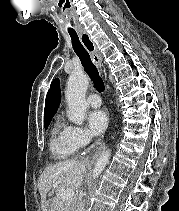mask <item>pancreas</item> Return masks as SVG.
I'll list each match as a JSON object with an SVG mask.
<instances>
[{
    "mask_svg": "<svg viewBox=\"0 0 179 211\" xmlns=\"http://www.w3.org/2000/svg\"><path fill=\"white\" fill-rule=\"evenodd\" d=\"M54 202L57 204L58 211H78V202L75 197L63 199L62 194H59Z\"/></svg>",
    "mask_w": 179,
    "mask_h": 211,
    "instance_id": "1",
    "label": "pancreas"
}]
</instances>
